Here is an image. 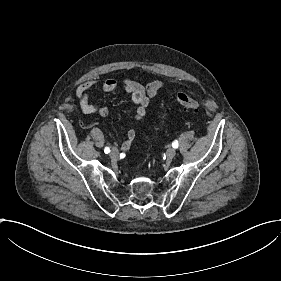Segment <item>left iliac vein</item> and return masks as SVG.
I'll return each instance as SVG.
<instances>
[{
    "instance_id": "obj_1",
    "label": "left iliac vein",
    "mask_w": 281,
    "mask_h": 281,
    "mask_svg": "<svg viewBox=\"0 0 281 281\" xmlns=\"http://www.w3.org/2000/svg\"><path fill=\"white\" fill-rule=\"evenodd\" d=\"M165 154H166L167 157L173 158L176 155V151H175V149L170 148L165 152Z\"/></svg>"
}]
</instances>
